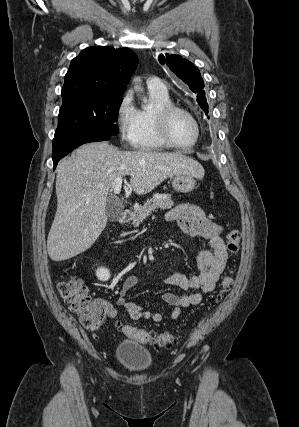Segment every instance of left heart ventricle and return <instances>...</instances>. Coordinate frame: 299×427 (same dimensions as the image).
Returning a JSON list of instances; mask_svg holds the SVG:
<instances>
[{"label":"left heart ventricle","instance_id":"obj_1","mask_svg":"<svg viewBox=\"0 0 299 427\" xmlns=\"http://www.w3.org/2000/svg\"><path fill=\"white\" fill-rule=\"evenodd\" d=\"M168 130L172 140L181 145L193 142L195 138V125L192 119L184 113H173L168 121Z\"/></svg>","mask_w":299,"mask_h":427}]
</instances>
